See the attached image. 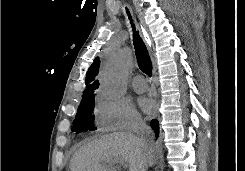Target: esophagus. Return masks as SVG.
<instances>
[{
	"mask_svg": "<svg viewBox=\"0 0 245 171\" xmlns=\"http://www.w3.org/2000/svg\"><path fill=\"white\" fill-rule=\"evenodd\" d=\"M130 13L131 12V9L128 7ZM147 41V46H148V51H149V55H150V58H151V62H152V69H153V75H154V80L156 81V73H157V62H156V57L154 55V52L151 48V45L149 43V41L146 39Z\"/></svg>",
	"mask_w": 245,
	"mask_h": 171,
	"instance_id": "esophagus-1",
	"label": "esophagus"
}]
</instances>
